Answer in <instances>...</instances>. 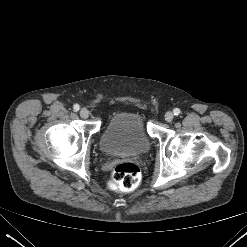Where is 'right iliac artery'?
Listing matches in <instances>:
<instances>
[{
    "label": "right iliac artery",
    "mask_w": 247,
    "mask_h": 247,
    "mask_svg": "<svg viewBox=\"0 0 247 247\" xmlns=\"http://www.w3.org/2000/svg\"><path fill=\"white\" fill-rule=\"evenodd\" d=\"M73 109H74V111H79V109H80V106L78 105V104H75L74 106H73Z\"/></svg>",
    "instance_id": "1"
}]
</instances>
